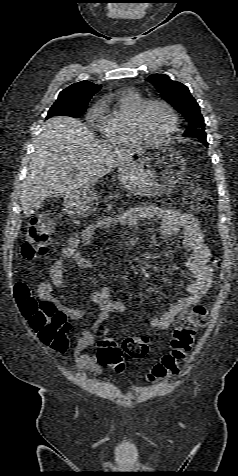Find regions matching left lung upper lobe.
<instances>
[{
    "label": "left lung upper lobe",
    "instance_id": "1",
    "mask_svg": "<svg viewBox=\"0 0 238 476\" xmlns=\"http://www.w3.org/2000/svg\"><path fill=\"white\" fill-rule=\"evenodd\" d=\"M149 79L161 94V97L173 105L188 121L190 126L184 134L189 137H196L207 145L204 119L200 113V107L190 94L188 87L171 80L165 74H152Z\"/></svg>",
    "mask_w": 238,
    "mask_h": 476
}]
</instances>
